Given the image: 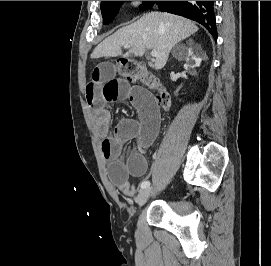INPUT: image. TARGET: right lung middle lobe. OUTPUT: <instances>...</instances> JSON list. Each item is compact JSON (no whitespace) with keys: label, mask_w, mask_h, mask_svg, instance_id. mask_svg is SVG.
<instances>
[{"label":"right lung middle lobe","mask_w":271,"mask_h":266,"mask_svg":"<svg viewBox=\"0 0 271 266\" xmlns=\"http://www.w3.org/2000/svg\"><path fill=\"white\" fill-rule=\"evenodd\" d=\"M124 1H101V12L103 16V24H108L119 11ZM156 1H145L140 7L149 9Z\"/></svg>","instance_id":"right-lung-middle-lobe-1"}]
</instances>
